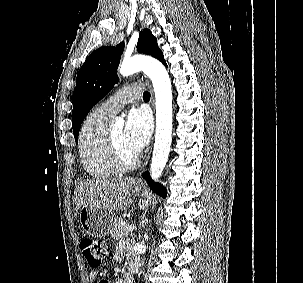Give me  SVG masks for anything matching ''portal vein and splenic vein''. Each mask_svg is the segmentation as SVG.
I'll return each mask as SVG.
<instances>
[{"label":"portal vein and splenic vein","instance_id":"18ae733b","mask_svg":"<svg viewBox=\"0 0 303 283\" xmlns=\"http://www.w3.org/2000/svg\"><path fill=\"white\" fill-rule=\"evenodd\" d=\"M134 230H136V226L135 225H130L127 227V231L128 232H133Z\"/></svg>","mask_w":303,"mask_h":283}]
</instances>
